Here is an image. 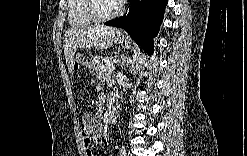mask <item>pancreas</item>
I'll return each mask as SVG.
<instances>
[{
  "mask_svg": "<svg viewBox=\"0 0 247 156\" xmlns=\"http://www.w3.org/2000/svg\"><path fill=\"white\" fill-rule=\"evenodd\" d=\"M113 70L114 65L111 58H106L102 62L100 61L94 69H91V72L96 75L97 80L105 82Z\"/></svg>",
  "mask_w": 247,
  "mask_h": 156,
  "instance_id": "1",
  "label": "pancreas"
}]
</instances>
